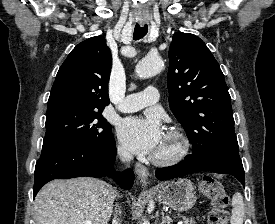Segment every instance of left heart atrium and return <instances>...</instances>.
I'll use <instances>...</instances> for the list:
<instances>
[{
    "label": "left heart atrium",
    "instance_id": "obj_1",
    "mask_svg": "<svg viewBox=\"0 0 275 224\" xmlns=\"http://www.w3.org/2000/svg\"><path fill=\"white\" fill-rule=\"evenodd\" d=\"M118 136L123 146L136 154L156 153L164 140V132L156 115L132 116L118 124Z\"/></svg>",
    "mask_w": 275,
    "mask_h": 224
}]
</instances>
